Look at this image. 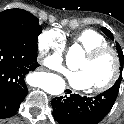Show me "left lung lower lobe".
I'll use <instances>...</instances> for the list:
<instances>
[{"label": "left lung lower lobe", "instance_id": "1", "mask_svg": "<svg viewBox=\"0 0 124 124\" xmlns=\"http://www.w3.org/2000/svg\"><path fill=\"white\" fill-rule=\"evenodd\" d=\"M51 101L53 116L60 124H98L112 109L119 89L111 87L94 97L71 94Z\"/></svg>", "mask_w": 124, "mask_h": 124}]
</instances>
